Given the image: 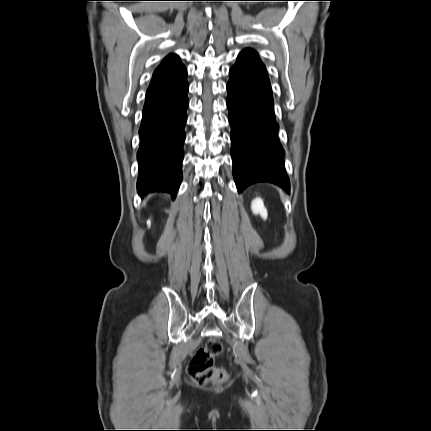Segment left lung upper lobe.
Returning <instances> with one entry per match:
<instances>
[{
  "instance_id": "1",
  "label": "left lung upper lobe",
  "mask_w": 431,
  "mask_h": 431,
  "mask_svg": "<svg viewBox=\"0 0 431 431\" xmlns=\"http://www.w3.org/2000/svg\"><path fill=\"white\" fill-rule=\"evenodd\" d=\"M236 64H240V65H245V64L257 65V66H261V67L265 68L264 64L259 59V55L257 54V52H255L254 50H251V49L244 50L238 56Z\"/></svg>"
}]
</instances>
